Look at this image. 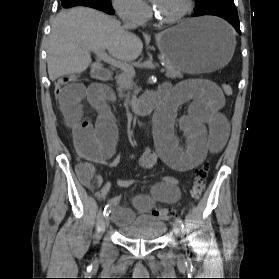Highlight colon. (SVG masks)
<instances>
[{
	"label": "colon",
	"instance_id": "obj_1",
	"mask_svg": "<svg viewBox=\"0 0 279 279\" xmlns=\"http://www.w3.org/2000/svg\"><path fill=\"white\" fill-rule=\"evenodd\" d=\"M73 80L74 78L66 77V76L59 78L55 83V89H54L55 96L58 97L62 89L66 85L71 83ZM221 88L227 96L232 95L233 90L229 83H223L221 85ZM208 171H209V166L207 163L203 164L195 171V179L193 181L192 188H191V195L195 200H199L202 194L204 193ZM152 214L156 217L165 220H169L174 217V212L167 208H154L152 210Z\"/></svg>",
	"mask_w": 279,
	"mask_h": 279
}]
</instances>
